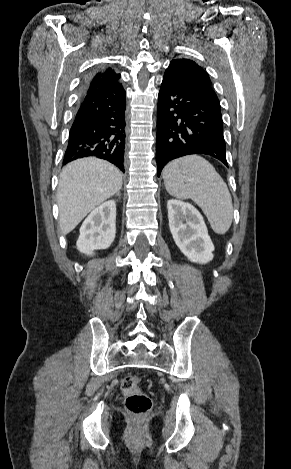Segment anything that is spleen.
<instances>
[{
  "instance_id": "spleen-1",
  "label": "spleen",
  "mask_w": 291,
  "mask_h": 469,
  "mask_svg": "<svg viewBox=\"0 0 291 469\" xmlns=\"http://www.w3.org/2000/svg\"><path fill=\"white\" fill-rule=\"evenodd\" d=\"M167 192L178 199H192L217 234H225L233 220L230 192L215 168L201 156L189 155L169 162L163 170Z\"/></svg>"
}]
</instances>
